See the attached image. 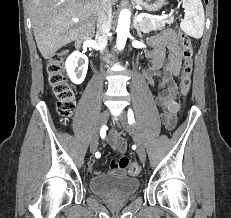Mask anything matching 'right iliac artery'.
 <instances>
[{"label":"right iliac artery","instance_id":"1","mask_svg":"<svg viewBox=\"0 0 231 218\" xmlns=\"http://www.w3.org/2000/svg\"><path fill=\"white\" fill-rule=\"evenodd\" d=\"M100 136H101L102 138H104V137L106 136V127H105V126H103V127L101 128V130H100ZM100 156H101V154H100L99 152H96L95 157H96V158H99Z\"/></svg>","mask_w":231,"mask_h":218}]
</instances>
